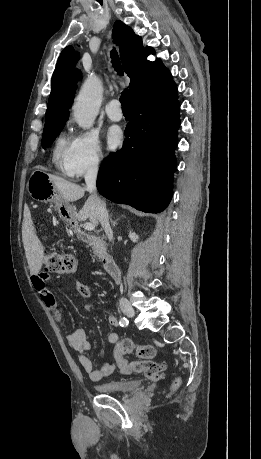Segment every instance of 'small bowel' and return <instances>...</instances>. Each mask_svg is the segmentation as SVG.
<instances>
[{
	"mask_svg": "<svg viewBox=\"0 0 261 459\" xmlns=\"http://www.w3.org/2000/svg\"><path fill=\"white\" fill-rule=\"evenodd\" d=\"M50 275L48 272L42 271L33 277V286L40 298L49 309L52 316L59 322L63 320V314L61 309L58 306L54 294L48 287V281L50 280ZM73 285L81 296L84 298H89L91 296V291L88 286L80 283L79 281L74 280ZM108 321L113 328H119V320L113 316H108ZM109 343H117L119 336L117 333L112 332L107 337ZM67 341L70 347L79 353V362L83 370L89 375L90 379L93 381H100L104 378L109 377L115 371L118 362V358L114 353V361L111 363H104L100 369H94L90 357L87 355V352L91 349V344L88 339V335L85 330L77 329L67 335Z\"/></svg>",
	"mask_w": 261,
	"mask_h": 459,
	"instance_id": "small-bowel-1",
	"label": "small bowel"
}]
</instances>
